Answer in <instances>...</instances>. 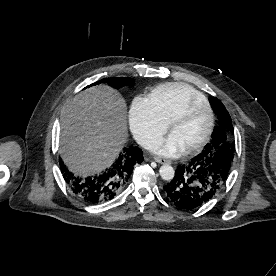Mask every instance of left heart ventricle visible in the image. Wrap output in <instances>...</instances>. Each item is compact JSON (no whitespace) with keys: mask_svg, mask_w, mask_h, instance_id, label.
<instances>
[{"mask_svg":"<svg viewBox=\"0 0 276 276\" xmlns=\"http://www.w3.org/2000/svg\"><path fill=\"white\" fill-rule=\"evenodd\" d=\"M209 123V113L203 105L197 106L191 114L178 122L173 131L188 148L197 143L205 134Z\"/></svg>","mask_w":276,"mask_h":276,"instance_id":"b2bd125f","label":"left heart ventricle"}]
</instances>
